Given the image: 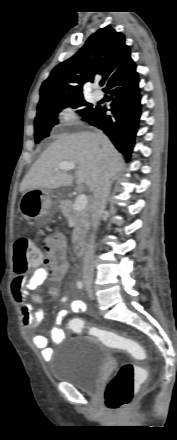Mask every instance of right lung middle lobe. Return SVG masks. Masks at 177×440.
Masks as SVG:
<instances>
[{"mask_svg":"<svg viewBox=\"0 0 177 440\" xmlns=\"http://www.w3.org/2000/svg\"><path fill=\"white\" fill-rule=\"evenodd\" d=\"M68 106L73 108L81 107V109L77 112L81 113L84 117L94 110L92 105L84 100L83 96L65 98L49 104L38 106L37 116L34 122V136L36 143H39L42 139L49 136L52 127L58 123V113Z\"/></svg>","mask_w":177,"mask_h":440,"instance_id":"obj_1","label":"right lung middle lobe"}]
</instances>
